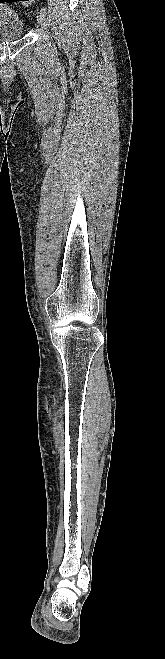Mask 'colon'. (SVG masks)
I'll use <instances>...</instances> for the list:
<instances>
[{"instance_id":"colon-1","label":"colon","mask_w":165,"mask_h":659,"mask_svg":"<svg viewBox=\"0 0 165 659\" xmlns=\"http://www.w3.org/2000/svg\"><path fill=\"white\" fill-rule=\"evenodd\" d=\"M22 1H26V2H32L33 0H22Z\"/></svg>"}]
</instances>
